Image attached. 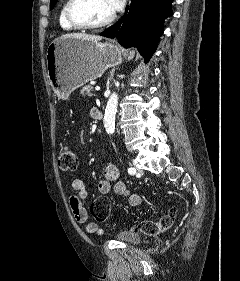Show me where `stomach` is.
Instances as JSON below:
<instances>
[{
	"label": "stomach",
	"instance_id": "obj_1",
	"mask_svg": "<svg viewBox=\"0 0 240 281\" xmlns=\"http://www.w3.org/2000/svg\"><path fill=\"white\" fill-rule=\"evenodd\" d=\"M132 59L112 43L92 42L74 37L52 41L46 53L48 78L54 92L67 98L72 91L100 77L109 67L119 65L123 56Z\"/></svg>",
	"mask_w": 240,
	"mask_h": 281
}]
</instances>
